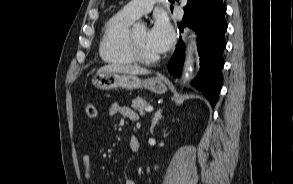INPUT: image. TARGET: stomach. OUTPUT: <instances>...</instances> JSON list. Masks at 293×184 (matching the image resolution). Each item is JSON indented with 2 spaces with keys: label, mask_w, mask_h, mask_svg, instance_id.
<instances>
[{
  "label": "stomach",
  "mask_w": 293,
  "mask_h": 184,
  "mask_svg": "<svg viewBox=\"0 0 293 184\" xmlns=\"http://www.w3.org/2000/svg\"><path fill=\"white\" fill-rule=\"evenodd\" d=\"M92 85L100 90L145 88L157 94L167 91L165 83L158 77L142 80L136 75L116 72H97L91 79Z\"/></svg>",
  "instance_id": "0dacf381"
}]
</instances>
